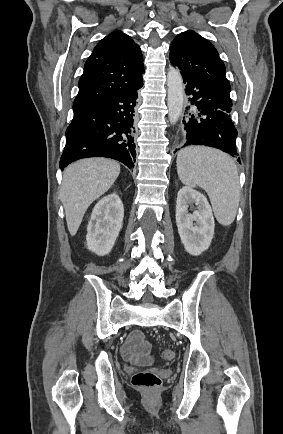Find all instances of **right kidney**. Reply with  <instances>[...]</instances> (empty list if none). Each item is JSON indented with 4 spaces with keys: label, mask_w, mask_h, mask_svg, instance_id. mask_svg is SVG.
I'll list each match as a JSON object with an SVG mask.
<instances>
[{
    "label": "right kidney",
    "mask_w": 283,
    "mask_h": 434,
    "mask_svg": "<svg viewBox=\"0 0 283 434\" xmlns=\"http://www.w3.org/2000/svg\"><path fill=\"white\" fill-rule=\"evenodd\" d=\"M123 217V204L117 194L99 200L87 227L88 249L99 256L110 253L122 228Z\"/></svg>",
    "instance_id": "ca27d5eb"
}]
</instances>
